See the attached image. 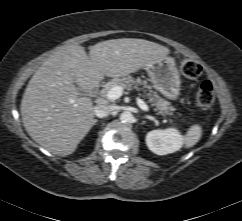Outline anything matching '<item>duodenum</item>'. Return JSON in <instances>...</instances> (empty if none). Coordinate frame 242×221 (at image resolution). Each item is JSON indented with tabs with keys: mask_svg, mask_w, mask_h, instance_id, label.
<instances>
[{
	"mask_svg": "<svg viewBox=\"0 0 242 221\" xmlns=\"http://www.w3.org/2000/svg\"><path fill=\"white\" fill-rule=\"evenodd\" d=\"M97 90H98V85L97 84L93 85L89 90L90 95H95L97 93Z\"/></svg>",
	"mask_w": 242,
	"mask_h": 221,
	"instance_id": "410a0bca",
	"label": "duodenum"
}]
</instances>
